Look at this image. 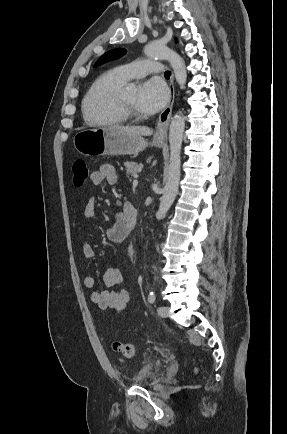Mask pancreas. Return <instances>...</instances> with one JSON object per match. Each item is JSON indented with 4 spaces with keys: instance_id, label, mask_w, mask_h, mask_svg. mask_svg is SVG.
Masks as SVG:
<instances>
[{
    "instance_id": "cf45deb5",
    "label": "pancreas",
    "mask_w": 287,
    "mask_h": 434,
    "mask_svg": "<svg viewBox=\"0 0 287 434\" xmlns=\"http://www.w3.org/2000/svg\"><path fill=\"white\" fill-rule=\"evenodd\" d=\"M125 169H126V173H127V177H136L137 174L141 171L142 169V164H138L136 162H129L126 161L124 163Z\"/></svg>"
}]
</instances>
